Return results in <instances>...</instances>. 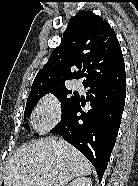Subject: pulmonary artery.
I'll return each instance as SVG.
<instances>
[{"mask_svg":"<svg viewBox=\"0 0 138 186\" xmlns=\"http://www.w3.org/2000/svg\"><path fill=\"white\" fill-rule=\"evenodd\" d=\"M73 86H74V89H80L81 87L80 83L78 82H75Z\"/></svg>","mask_w":138,"mask_h":186,"instance_id":"e3ab8cb5","label":"pulmonary artery"}]
</instances>
